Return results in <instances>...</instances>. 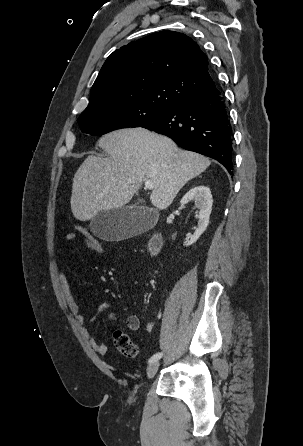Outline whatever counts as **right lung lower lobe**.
<instances>
[{
  "instance_id": "98d812e1",
  "label": "right lung lower lobe",
  "mask_w": 303,
  "mask_h": 446,
  "mask_svg": "<svg viewBox=\"0 0 303 446\" xmlns=\"http://www.w3.org/2000/svg\"><path fill=\"white\" fill-rule=\"evenodd\" d=\"M141 127L217 160L233 174L231 126L224 97L216 86L191 95Z\"/></svg>"
}]
</instances>
